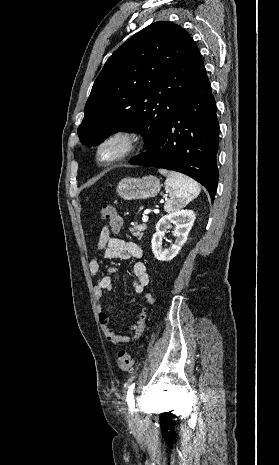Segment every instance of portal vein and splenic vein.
<instances>
[{
    "label": "portal vein and splenic vein",
    "mask_w": 279,
    "mask_h": 465,
    "mask_svg": "<svg viewBox=\"0 0 279 465\" xmlns=\"http://www.w3.org/2000/svg\"><path fill=\"white\" fill-rule=\"evenodd\" d=\"M148 219H149V217L146 214H144L143 217H142V221L146 223V222H148Z\"/></svg>",
    "instance_id": "obj_1"
}]
</instances>
